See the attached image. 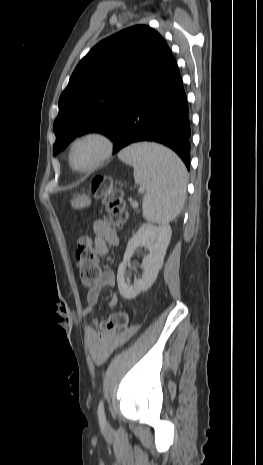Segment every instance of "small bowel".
<instances>
[{"label": "small bowel", "mask_w": 263, "mask_h": 465, "mask_svg": "<svg viewBox=\"0 0 263 465\" xmlns=\"http://www.w3.org/2000/svg\"><path fill=\"white\" fill-rule=\"evenodd\" d=\"M93 234L95 237L94 249L98 256H106L110 245H116L119 241L117 233L104 221H97L93 225ZM115 285V274L112 270H105L101 273L98 282L87 292V306L84 314L89 315L99 300L100 294L105 287ZM119 303L117 295H113L109 302V308H115ZM140 329L139 325H133V328L123 332L101 333L91 328L86 329V338L89 352L96 364L100 365L107 360L112 352L122 345L131 334H136Z\"/></svg>", "instance_id": "1"}]
</instances>
